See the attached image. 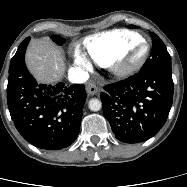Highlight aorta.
Here are the masks:
<instances>
[{
	"instance_id": "1",
	"label": "aorta",
	"mask_w": 187,
	"mask_h": 187,
	"mask_svg": "<svg viewBox=\"0 0 187 187\" xmlns=\"http://www.w3.org/2000/svg\"><path fill=\"white\" fill-rule=\"evenodd\" d=\"M88 107L91 111H99L102 108V103L99 99H90Z\"/></svg>"
}]
</instances>
